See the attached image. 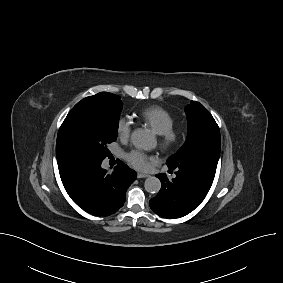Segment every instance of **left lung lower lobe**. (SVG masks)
<instances>
[{"instance_id": "obj_1", "label": "left lung lower lobe", "mask_w": 283, "mask_h": 283, "mask_svg": "<svg viewBox=\"0 0 283 283\" xmlns=\"http://www.w3.org/2000/svg\"><path fill=\"white\" fill-rule=\"evenodd\" d=\"M176 177L169 180L165 174H157L161 189L150 200L151 209L164 218L183 217L193 211L206 197L212 182L201 173L177 168Z\"/></svg>"}]
</instances>
